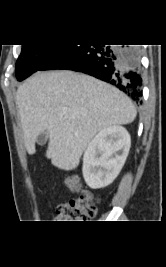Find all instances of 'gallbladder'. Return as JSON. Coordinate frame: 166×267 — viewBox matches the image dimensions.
Listing matches in <instances>:
<instances>
[{"instance_id": "gallbladder-1", "label": "gallbladder", "mask_w": 166, "mask_h": 267, "mask_svg": "<svg viewBox=\"0 0 166 267\" xmlns=\"http://www.w3.org/2000/svg\"><path fill=\"white\" fill-rule=\"evenodd\" d=\"M48 139V135L46 132H42L38 135L37 139H36V142L38 145H45L46 144V141Z\"/></svg>"}]
</instances>
